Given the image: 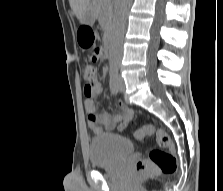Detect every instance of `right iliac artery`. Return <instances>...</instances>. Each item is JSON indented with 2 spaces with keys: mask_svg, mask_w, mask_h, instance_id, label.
<instances>
[{
  "mask_svg": "<svg viewBox=\"0 0 223 191\" xmlns=\"http://www.w3.org/2000/svg\"><path fill=\"white\" fill-rule=\"evenodd\" d=\"M110 90L115 95L118 93V68L115 66L110 69Z\"/></svg>",
  "mask_w": 223,
  "mask_h": 191,
  "instance_id": "82829eb1",
  "label": "right iliac artery"
}]
</instances>
